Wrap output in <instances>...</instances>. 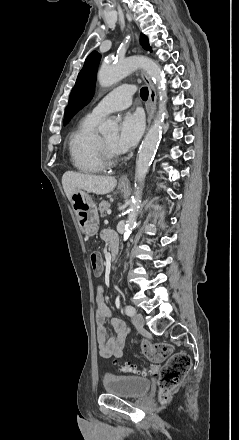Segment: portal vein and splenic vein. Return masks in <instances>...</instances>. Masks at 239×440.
Listing matches in <instances>:
<instances>
[{"label":"portal vein and splenic vein","instance_id":"obj_1","mask_svg":"<svg viewBox=\"0 0 239 440\" xmlns=\"http://www.w3.org/2000/svg\"><path fill=\"white\" fill-rule=\"evenodd\" d=\"M107 211H108L107 214L110 215L112 210H111V209H108Z\"/></svg>","mask_w":239,"mask_h":440}]
</instances>
